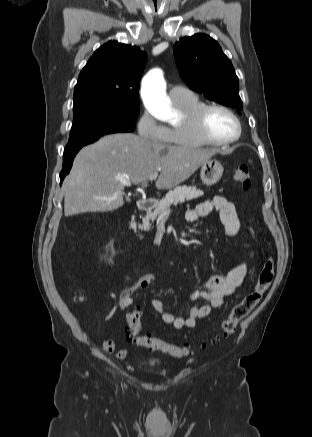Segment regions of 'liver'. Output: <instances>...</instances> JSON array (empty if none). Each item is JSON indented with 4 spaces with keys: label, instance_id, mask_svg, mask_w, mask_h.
I'll list each match as a JSON object with an SVG mask.
<instances>
[{
    "label": "liver",
    "instance_id": "6515ba94",
    "mask_svg": "<svg viewBox=\"0 0 312 437\" xmlns=\"http://www.w3.org/2000/svg\"><path fill=\"white\" fill-rule=\"evenodd\" d=\"M217 152L152 142L130 133L103 136L76 155L62 185L64 213L72 216L118 209L124 204L121 179L144 183L160 171L156 188L170 189Z\"/></svg>",
    "mask_w": 312,
    "mask_h": 437
}]
</instances>
